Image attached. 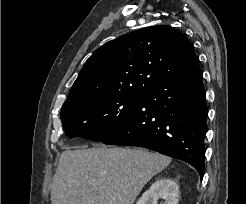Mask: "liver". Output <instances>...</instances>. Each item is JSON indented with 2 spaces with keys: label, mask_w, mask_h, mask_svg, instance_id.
Segmentation results:
<instances>
[{
  "label": "liver",
  "mask_w": 246,
  "mask_h": 204,
  "mask_svg": "<svg viewBox=\"0 0 246 204\" xmlns=\"http://www.w3.org/2000/svg\"><path fill=\"white\" fill-rule=\"evenodd\" d=\"M172 159L145 149L94 147L60 155L52 204H133L144 185Z\"/></svg>",
  "instance_id": "6515ba94"
}]
</instances>
